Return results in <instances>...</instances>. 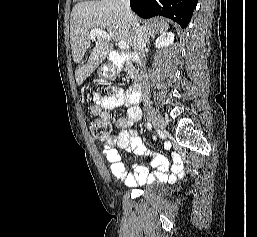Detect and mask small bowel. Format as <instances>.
Segmentation results:
<instances>
[{"label":"small bowel","instance_id":"small-bowel-1","mask_svg":"<svg viewBox=\"0 0 257 237\" xmlns=\"http://www.w3.org/2000/svg\"><path fill=\"white\" fill-rule=\"evenodd\" d=\"M121 106L127 107L126 116L114 119V124L118 132L114 133L104 143L102 148V153L106 157L110 174L121 180L122 184L126 187L152 183L154 181L173 182L177 176H183V165L179 158L174 159L172 173H169L167 159L145 148L142 140L133 128L141 118V109L130 103L123 89H118L110 96L97 97L94 103L90 105V111L93 115L100 116L104 120H111L112 116L109 110ZM118 149L126 152L133 151L143 160L150 162L156 168V171L149 173L148 168L141 164L133 165V171L131 172L126 171Z\"/></svg>","mask_w":257,"mask_h":237}]
</instances>
